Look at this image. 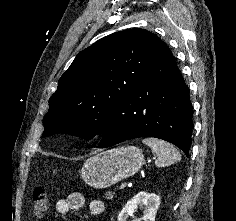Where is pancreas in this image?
I'll use <instances>...</instances> for the list:
<instances>
[{
    "mask_svg": "<svg viewBox=\"0 0 236 221\" xmlns=\"http://www.w3.org/2000/svg\"><path fill=\"white\" fill-rule=\"evenodd\" d=\"M105 196H106V198L109 200V199H112L113 198V193L112 192H106L105 193Z\"/></svg>",
    "mask_w": 236,
    "mask_h": 221,
    "instance_id": "obj_1",
    "label": "pancreas"
}]
</instances>
